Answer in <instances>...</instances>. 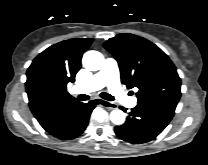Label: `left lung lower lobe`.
<instances>
[{
  "mask_svg": "<svg viewBox=\"0 0 208 165\" xmlns=\"http://www.w3.org/2000/svg\"><path fill=\"white\" fill-rule=\"evenodd\" d=\"M123 110L126 112V109ZM174 113V106L137 105L128 113L126 122L115 127V133L120 139L132 144L149 142L165 129Z\"/></svg>",
  "mask_w": 208,
  "mask_h": 165,
  "instance_id": "1",
  "label": "left lung lower lobe"
}]
</instances>
